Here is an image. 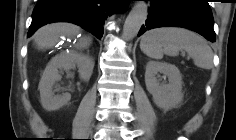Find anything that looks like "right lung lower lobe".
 Here are the masks:
<instances>
[{
  "label": "right lung lower lobe",
  "mask_w": 236,
  "mask_h": 140,
  "mask_svg": "<svg viewBox=\"0 0 236 140\" xmlns=\"http://www.w3.org/2000/svg\"><path fill=\"white\" fill-rule=\"evenodd\" d=\"M129 0H39L33 10L30 37L41 26L52 22H71L99 39L103 21L115 12H123Z\"/></svg>",
  "instance_id": "obj_1"
}]
</instances>
